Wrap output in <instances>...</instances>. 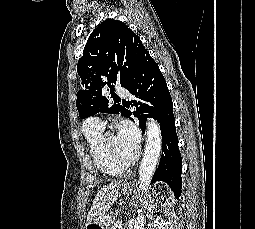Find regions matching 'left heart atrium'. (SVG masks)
Wrapping results in <instances>:
<instances>
[{"instance_id":"1","label":"left heart atrium","mask_w":255,"mask_h":229,"mask_svg":"<svg viewBox=\"0 0 255 229\" xmlns=\"http://www.w3.org/2000/svg\"><path fill=\"white\" fill-rule=\"evenodd\" d=\"M117 138L124 147L134 154L138 151L140 137L138 130L132 124L123 122L119 126Z\"/></svg>"}]
</instances>
